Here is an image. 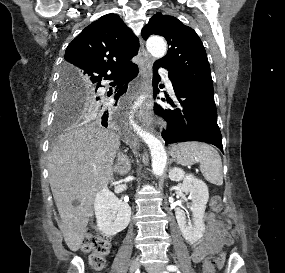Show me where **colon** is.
Returning <instances> with one entry per match:
<instances>
[{"mask_svg": "<svg viewBox=\"0 0 285 273\" xmlns=\"http://www.w3.org/2000/svg\"><path fill=\"white\" fill-rule=\"evenodd\" d=\"M210 204L215 213H220L222 211V202L219 196H213ZM110 248V239L99 234L95 230L88 231L81 244L82 251L89 255L90 263L95 270H100L105 266L107 257L110 253ZM215 266L216 258L208 256L203 261L202 272L215 273Z\"/></svg>", "mask_w": 285, "mask_h": 273, "instance_id": "5ec220e1", "label": "colon"}]
</instances>
